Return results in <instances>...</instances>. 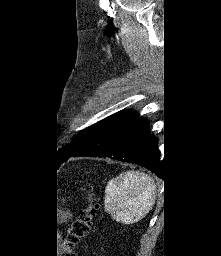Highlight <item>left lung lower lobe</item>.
<instances>
[{
    "mask_svg": "<svg viewBox=\"0 0 221 256\" xmlns=\"http://www.w3.org/2000/svg\"><path fill=\"white\" fill-rule=\"evenodd\" d=\"M148 127V120L137 117L136 112L121 114L105 122L71 157H109L137 163L161 176L158 139L148 133Z\"/></svg>",
    "mask_w": 221,
    "mask_h": 256,
    "instance_id": "obj_1",
    "label": "left lung lower lobe"
}]
</instances>
